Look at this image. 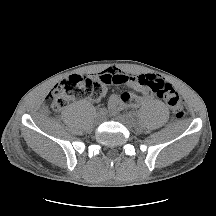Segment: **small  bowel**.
Returning <instances> with one entry per match:
<instances>
[{
  "label": "small bowel",
  "instance_id": "small-bowel-1",
  "mask_svg": "<svg viewBox=\"0 0 216 216\" xmlns=\"http://www.w3.org/2000/svg\"><path fill=\"white\" fill-rule=\"evenodd\" d=\"M97 77L102 83V93L97 100H100L108 95L110 85H126L135 91V93H132L131 95L132 101L129 104H125L124 102L119 101L118 97L112 96L109 100V105L113 111L127 106L135 108L141 104H144L153 94L150 88L145 84V81L152 78L161 79L160 77L151 74L130 76L116 68H108L99 73Z\"/></svg>",
  "mask_w": 216,
  "mask_h": 216
}]
</instances>
